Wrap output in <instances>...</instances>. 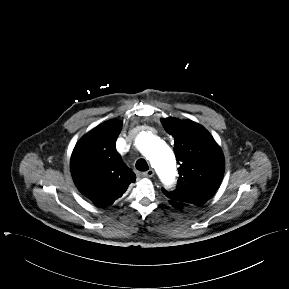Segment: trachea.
Masks as SVG:
<instances>
[{
    "label": "trachea",
    "mask_w": 289,
    "mask_h": 289,
    "mask_svg": "<svg viewBox=\"0 0 289 289\" xmlns=\"http://www.w3.org/2000/svg\"><path fill=\"white\" fill-rule=\"evenodd\" d=\"M136 169L139 171H147L149 169V166L144 159H139L136 162Z\"/></svg>",
    "instance_id": "obj_1"
}]
</instances>
